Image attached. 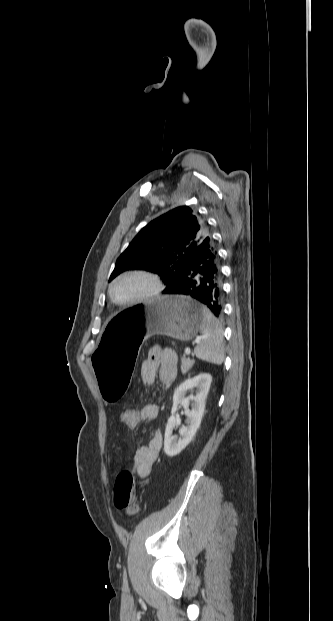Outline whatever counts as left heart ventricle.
Masks as SVG:
<instances>
[{
    "instance_id": "left-heart-ventricle-1",
    "label": "left heart ventricle",
    "mask_w": 333,
    "mask_h": 621,
    "mask_svg": "<svg viewBox=\"0 0 333 621\" xmlns=\"http://www.w3.org/2000/svg\"><path fill=\"white\" fill-rule=\"evenodd\" d=\"M151 289L149 280L143 277L130 276L119 280L113 287L117 300L128 301L138 298Z\"/></svg>"
}]
</instances>
